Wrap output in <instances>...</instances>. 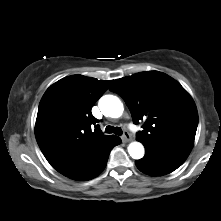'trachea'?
<instances>
[{"mask_svg":"<svg viewBox=\"0 0 221 221\" xmlns=\"http://www.w3.org/2000/svg\"><path fill=\"white\" fill-rule=\"evenodd\" d=\"M105 133H114L116 135H122V129L120 127L107 126Z\"/></svg>","mask_w":221,"mask_h":221,"instance_id":"trachea-1","label":"trachea"}]
</instances>
